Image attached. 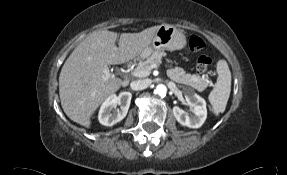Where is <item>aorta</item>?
<instances>
[{
	"label": "aorta",
	"instance_id": "obj_1",
	"mask_svg": "<svg viewBox=\"0 0 287 175\" xmlns=\"http://www.w3.org/2000/svg\"><path fill=\"white\" fill-rule=\"evenodd\" d=\"M155 94H158L161 97H164L167 93V87L164 84H159L155 88Z\"/></svg>",
	"mask_w": 287,
	"mask_h": 175
}]
</instances>
